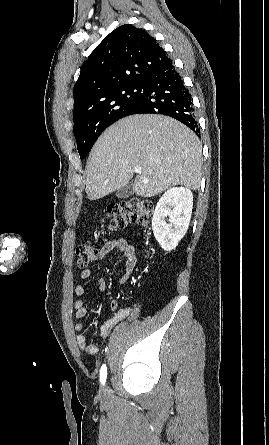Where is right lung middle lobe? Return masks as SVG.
I'll list each match as a JSON object with an SVG mask.
<instances>
[{
  "instance_id": "obj_1",
  "label": "right lung middle lobe",
  "mask_w": 269,
  "mask_h": 445,
  "mask_svg": "<svg viewBox=\"0 0 269 445\" xmlns=\"http://www.w3.org/2000/svg\"><path fill=\"white\" fill-rule=\"evenodd\" d=\"M144 91V84L122 86L93 97L74 110V135L81 159L86 157L108 126L129 115L138 105Z\"/></svg>"
}]
</instances>
